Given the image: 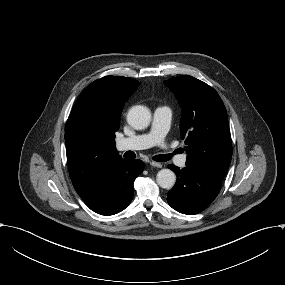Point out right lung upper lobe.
Masks as SVG:
<instances>
[{
  "label": "right lung upper lobe",
  "instance_id": "right-lung-upper-lobe-1",
  "mask_svg": "<svg viewBox=\"0 0 285 285\" xmlns=\"http://www.w3.org/2000/svg\"><path fill=\"white\" fill-rule=\"evenodd\" d=\"M139 82L105 76L91 83L77 99L66 123L65 143L70 177L82 199L88 197L123 160L115 132L125 101Z\"/></svg>",
  "mask_w": 285,
  "mask_h": 285
}]
</instances>
